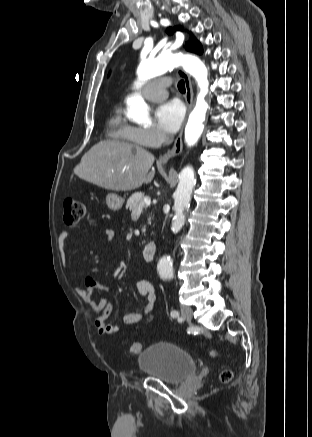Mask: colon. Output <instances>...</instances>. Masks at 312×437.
Returning a JSON list of instances; mask_svg holds the SVG:
<instances>
[{
	"instance_id": "5ec220e1",
	"label": "colon",
	"mask_w": 312,
	"mask_h": 437,
	"mask_svg": "<svg viewBox=\"0 0 312 437\" xmlns=\"http://www.w3.org/2000/svg\"><path fill=\"white\" fill-rule=\"evenodd\" d=\"M64 208V221L68 225H74L79 222L83 217L85 208L81 201L75 200L73 198H66L63 203ZM141 351V344L139 342H134L129 348V353L136 355ZM233 373L231 370H223L220 373V380L224 383L231 381Z\"/></svg>"
}]
</instances>
